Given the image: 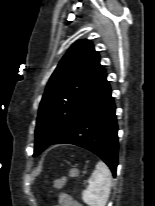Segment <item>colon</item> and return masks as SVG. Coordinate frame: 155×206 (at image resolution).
Wrapping results in <instances>:
<instances>
[{"instance_id":"obj_1","label":"colon","mask_w":155,"mask_h":206,"mask_svg":"<svg viewBox=\"0 0 155 206\" xmlns=\"http://www.w3.org/2000/svg\"><path fill=\"white\" fill-rule=\"evenodd\" d=\"M61 182H58V185L60 184ZM75 206H82V205H80V204H78V203H75Z\"/></svg>"}]
</instances>
